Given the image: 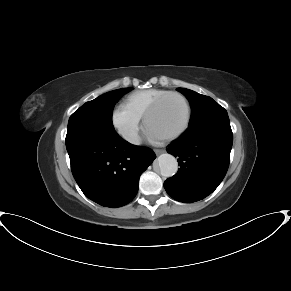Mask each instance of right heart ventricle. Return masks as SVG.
<instances>
[{
  "label": "right heart ventricle",
  "instance_id": "1",
  "mask_svg": "<svg viewBox=\"0 0 291 291\" xmlns=\"http://www.w3.org/2000/svg\"><path fill=\"white\" fill-rule=\"evenodd\" d=\"M168 92L167 90L158 88L135 91L127 96L125 104L140 117H144L151 105L159 97Z\"/></svg>",
  "mask_w": 291,
  "mask_h": 291
}]
</instances>
